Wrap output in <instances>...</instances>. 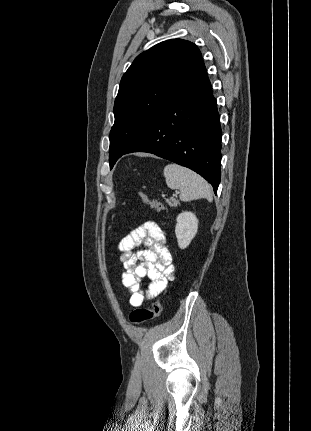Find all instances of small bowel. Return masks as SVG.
Returning <instances> with one entry per match:
<instances>
[{
  "label": "small bowel",
  "mask_w": 311,
  "mask_h": 431,
  "mask_svg": "<svg viewBox=\"0 0 311 431\" xmlns=\"http://www.w3.org/2000/svg\"><path fill=\"white\" fill-rule=\"evenodd\" d=\"M141 247V250H135ZM123 286L129 293V302L138 307L147 299L159 295L174 276L172 256L166 238L154 221H146L119 242ZM150 279L146 290L141 288L144 278Z\"/></svg>",
  "instance_id": "obj_1"
}]
</instances>
